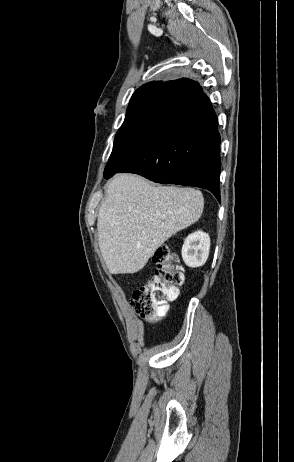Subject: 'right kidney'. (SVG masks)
<instances>
[{
  "label": "right kidney",
  "instance_id": "right-kidney-1",
  "mask_svg": "<svg viewBox=\"0 0 294 462\" xmlns=\"http://www.w3.org/2000/svg\"><path fill=\"white\" fill-rule=\"evenodd\" d=\"M210 237L207 233L198 230L187 236L182 246V258L191 268L205 264L209 256Z\"/></svg>",
  "mask_w": 294,
  "mask_h": 462
}]
</instances>
